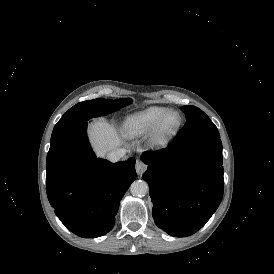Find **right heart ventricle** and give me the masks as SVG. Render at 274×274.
Masks as SVG:
<instances>
[{"instance_id": "1", "label": "right heart ventricle", "mask_w": 274, "mask_h": 274, "mask_svg": "<svg viewBox=\"0 0 274 274\" xmlns=\"http://www.w3.org/2000/svg\"><path fill=\"white\" fill-rule=\"evenodd\" d=\"M166 112V108L159 106H150L134 112L125 118L121 131L126 138H142L158 124Z\"/></svg>"}]
</instances>
